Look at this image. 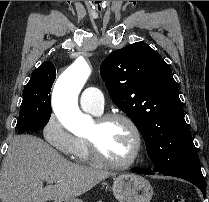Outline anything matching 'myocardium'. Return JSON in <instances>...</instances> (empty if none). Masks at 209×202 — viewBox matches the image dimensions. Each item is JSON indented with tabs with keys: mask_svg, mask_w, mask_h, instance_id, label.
<instances>
[{
	"mask_svg": "<svg viewBox=\"0 0 209 202\" xmlns=\"http://www.w3.org/2000/svg\"><path fill=\"white\" fill-rule=\"evenodd\" d=\"M112 121H123L125 122L132 130L135 137V148L132 153V156L127 161L123 162H115L109 160L100 150L96 140L91 137H85V141L87 143V147L90 153L91 158L101 166L123 170L132 167L135 165L142 156L143 153V136L140 128L136 124V122L127 114L114 112L110 114H106L100 116L96 119L97 126L99 128L104 127L108 123Z\"/></svg>",
	"mask_w": 209,
	"mask_h": 202,
	"instance_id": "myocardium-1",
	"label": "myocardium"
}]
</instances>
